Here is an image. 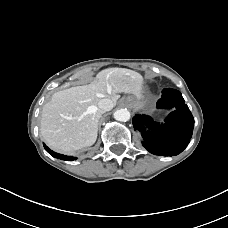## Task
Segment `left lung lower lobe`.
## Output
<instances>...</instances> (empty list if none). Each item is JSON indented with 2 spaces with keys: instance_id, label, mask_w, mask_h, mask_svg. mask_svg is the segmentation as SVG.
Segmentation results:
<instances>
[{
  "instance_id": "obj_1",
  "label": "left lung lower lobe",
  "mask_w": 228,
  "mask_h": 228,
  "mask_svg": "<svg viewBox=\"0 0 228 228\" xmlns=\"http://www.w3.org/2000/svg\"><path fill=\"white\" fill-rule=\"evenodd\" d=\"M172 107L175 111H172L162 124L146 115L133 117L134 130L141 132L142 145L152 154L177 155L190 142L194 118L179 91L164 89L162 98L157 102V108L170 109Z\"/></svg>"
}]
</instances>
